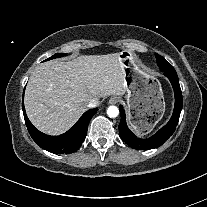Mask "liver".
<instances>
[{
  "mask_svg": "<svg viewBox=\"0 0 207 207\" xmlns=\"http://www.w3.org/2000/svg\"><path fill=\"white\" fill-rule=\"evenodd\" d=\"M126 93L125 71L119 53L51 60L32 73L24 104L31 123L49 135L71 128L89 101Z\"/></svg>",
  "mask_w": 207,
  "mask_h": 207,
  "instance_id": "6515ba94",
  "label": "liver"
}]
</instances>
